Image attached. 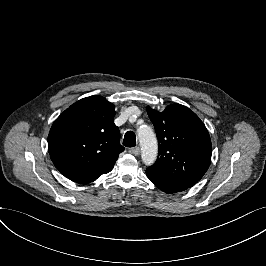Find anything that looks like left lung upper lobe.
<instances>
[{"instance_id": "5c2ea615", "label": "left lung upper lobe", "mask_w": 266, "mask_h": 266, "mask_svg": "<svg viewBox=\"0 0 266 266\" xmlns=\"http://www.w3.org/2000/svg\"><path fill=\"white\" fill-rule=\"evenodd\" d=\"M159 143L154 165L146 171L169 181L191 187L211 162V140L205 125L189 108L172 104L163 112L147 107Z\"/></svg>"}]
</instances>
